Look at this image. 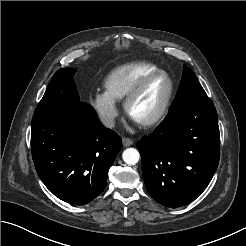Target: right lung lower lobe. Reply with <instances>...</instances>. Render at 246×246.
<instances>
[{"mask_svg": "<svg viewBox=\"0 0 246 246\" xmlns=\"http://www.w3.org/2000/svg\"><path fill=\"white\" fill-rule=\"evenodd\" d=\"M122 147L88 103L62 114L32 119L31 149L37 173L59 199L87 204L106 187L108 170Z\"/></svg>", "mask_w": 246, "mask_h": 246, "instance_id": "1", "label": "right lung lower lobe"}]
</instances>
